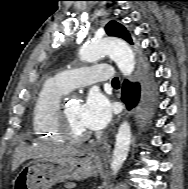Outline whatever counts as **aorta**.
Instances as JSON below:
<instances>
[{"label":"aorta","mask_w":188,"mask_h":189,"mask_svg":"<svg viewBox=\"0 0 188 189\" xmlns=\"http://www.w3.org/2000/svg\"><path fill=\"white\" fill-rule=\"evenodd\" d=\"M105 55H109V57L115 61L124 76H130L134 71L135 58L133 51L128 44L121 39L106 37L81 47L79 51L80 60L84 62H95ZM131 137L130 125L125 121L119 126L116 135L111 162L113 175L118 173L128 156Z\"/></svg>","instance_id":"1"}]
</instances>
